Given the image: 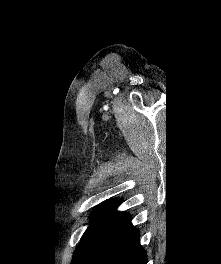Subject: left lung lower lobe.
I'll use <instances>...</instances> for the list:
<instances>
[{"instance_id":"left-lung-lower-lobe-1","label":"left lung lower lobe","mask_w":221,"mask_h":264,"mask_svg":"<svg viewBox=\"0 0 221 264\" xmlns=\"http://www.w3.org/2000/svg\"><path fill=\"white\" fill-rule=\"evenodd\" d=\"M130 221L128 213L115 207L80 241L72 264H146L139 231Z\"/></svg>"}]
</instances>
